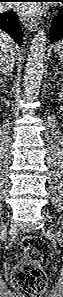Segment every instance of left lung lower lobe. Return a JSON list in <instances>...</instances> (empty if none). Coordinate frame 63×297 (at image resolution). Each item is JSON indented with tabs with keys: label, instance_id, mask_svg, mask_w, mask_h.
<instances>
[{
	"label": "left lung lower lobe",
	"instance_id": "obj_1",
	"mask_svg": "<svg viewBox=\"0 0 63 297\" xmlns=\"http://www.w3.org/2000/svg\"><path fill=\"white\" fill-rule=\"evenodd\" d=\"M59 2H63L59 0ZM63 39V6L60 9L58 16L52 21L50 28V41L51 44Z\"/></svg>",
	"mask_w": 63,
	"mask_h": 297
}]
</instances>
